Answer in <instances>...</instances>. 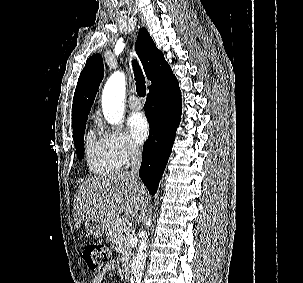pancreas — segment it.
<instances>
[{
	"instance_id": "pancreas-1",
	"label": "pancreas",
	"mask_w": 303,
	"mask_h": 283,
	"mask_svg": "<svg viewBox=\"0 0 303 283\" xmlns=\"http://www.w3.org/2000/svg\"><path fill=\"white\" fill-rule=\"evenodd\" d=\"M131 235L127 227L122 223L114 222L112 224L110 232L107 234V238L110 242L115 243L117 246L121 245V250L123 252L122 262L126 263L131 255L130 239Z\"/></svg>"
}]
</instances>
